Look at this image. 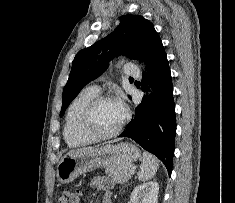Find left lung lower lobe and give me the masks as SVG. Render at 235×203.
Listing matches in <instances>:
<instances>
[{"label":"left lung lower lobe","instance_id":"obj_1","mask_svg":"<svg viewBox=\"0 0 235 203\" xmlns=\"http://www.w3.org/2000/svg\"><path fill=\"white\" fill-rule=\"evenodd\" d=\"M148 73L143 74L142 90L147 84L152 96L135 108V117L119 137H128L157 156L172 172L175 149V104L171 72L161 39L157 41L145 61ZM150 76L147 80L145 77Z\"/></svg>","mask_w":235,"mask_h":203}]
</instances>
